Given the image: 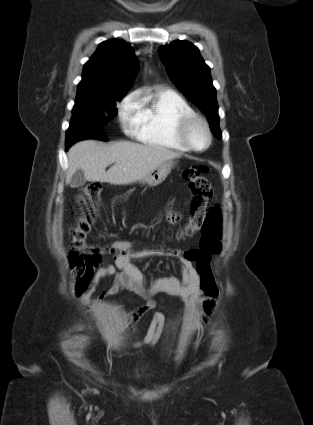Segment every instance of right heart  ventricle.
<instances>
[{
    "label": "right heart ventricle",
    "mask_w": 313,
    "mask_h": 425,
    "mask_svg": "<svg viewBox=\"0 0 313 425\" xmlns=\"http://www.w3.org/2000/svg\"><path fill=\"white\" fill-rule=\"evenodd\" d=\"M194 110L174 91L160 89L148 92L139 99V121L136 138L153 147L187 152L176 134L178 120Z\"/></svg>",
    "instance_id": "right-heart-ventricle-1"
}]
</instances>
